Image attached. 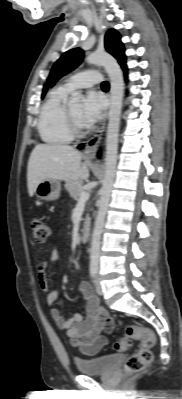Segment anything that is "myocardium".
Here are the masks:
<instances>
[{"instance_id": "1", "label": "myocardium", "mask_w": 182, "mask_h": 399, "mask_svg": "<svg viewBox=\"0 0 182 399\" xmlns=\"http://www.w3.org/2000/svg\"><path fill=\"white\" fill-rule=\"evenodd\" d=\"M66 118L68 123V128L73 137H82L86 134V129L80 126L73 115L70 112V109L67 108Z\"/></svg>"}]
</instances>
